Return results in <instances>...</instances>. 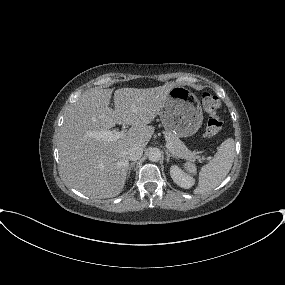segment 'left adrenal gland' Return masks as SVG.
Masks as SVG:
<instances>
[{
  "instance_id": "a2214340",
  "label": "left adrenal gland",
  "mask_w": 285,
  "mask_h": 285,
  "mask_svg": "<svg viewBox=\"0 0 285 285\" xmlns=\"http://www.w3.org/2000/svg\"><path fill=\"white\" fill-rule=\"evenodd\" d=\"M166 160H167V162H169V159H170V157H173V158H175V156L174 155H172V154H170L169 152H168V150H166Z\"/></svg>"
}]
</instances>
